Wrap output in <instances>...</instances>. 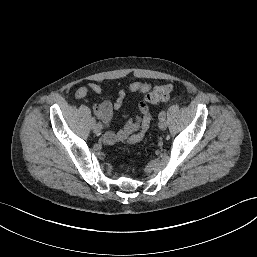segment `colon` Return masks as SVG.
Listing matches in <instances>:
<instances>
[{"mask_svg":"<svg viewBox=\"0 0 257 257\" xmlns=\"http://www.w3.org/2000/svg\"><path fill=\"white\" fill-rule=\"evenodd\" d=\"M172 90L173 87L170 84L158 85L152 91L147 93L146 101L152 105H157L160 102L167 100Z\"/></svg>","mask_w":257,"mask_h":257,"instance_id":"colon-1","label":"colon"}]
</instances>
